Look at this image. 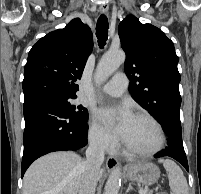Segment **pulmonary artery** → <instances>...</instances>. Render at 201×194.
<instances>
[{
  "label": "pulmonary artery",
  "instance_id": "pulmonary-artery-1",
  "mask_svg": "<svg viewBox=\"0 0 201 194\" xmlns=\"http://www.w3.org/2000/svg\"><path fill=\"white\" fill-rule=\"evenodd\" d=\"M127 85L128 80L126 75L118 73L108 83H106L100 91L108 96L119 97L125 92Z\"/></svg>",
  "mask_w": 201,
  "mask_h": 194
}]
</instances>
